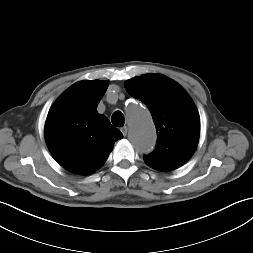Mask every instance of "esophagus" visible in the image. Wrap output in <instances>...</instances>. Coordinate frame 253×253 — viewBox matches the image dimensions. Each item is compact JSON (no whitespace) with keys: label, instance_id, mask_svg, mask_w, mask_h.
I'll return each mask as SVG.
<instances>
[{"label":"esophagus","instance_id":"obj_1","mask_svg":"<svg viewBox=\"0 0 253 253\" xmlns=\"http://www.w3.org/2000/svg\"><path fill=\"white\" fill-rule=\"evenodd\" d=\"M121 132H122V134H123L124 136H126V135H127V132H128L127 126H123V127L121 128Z\"/></svg>","mask_w":253,"mask_h":253}]
</instances>
